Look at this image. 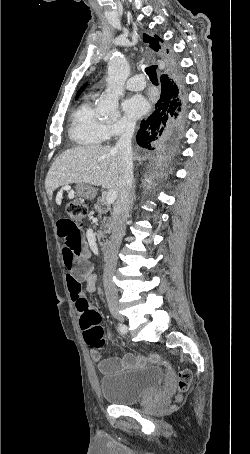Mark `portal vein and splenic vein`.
<instances>
[{"instance_id":"portal-vein-and-splenic-vein-1","label":"portal vein and splenic vein","mask_w":250,"mask_h":454,"mask_svg":"<svg viewBox=\"0 0 250 454\" xmlns=\"http://www.w3.org/2000/svg\"><path fill=\"white\" fill-rule=\"evenodd\" d=\"M116 199H117V193L114 190L108 191L107 196H106V203L109 205L113 204Z\"/></svg>"}]
</instances>
